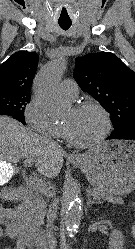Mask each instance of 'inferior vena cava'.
<instances>
[{
    "label": "inferior vena cava",
    "mask_w": 135,
    "mask_h": 249,
    "mask_svg": "<svg viewBox=\"0 0 135 249\" xmlns=\"http://www.w3.org/2000/svg\"><path fill=\"white\" fill-rule=\"evenodd\" d=\"M54 209L55 204L53 203L52 206L49 208V212L47 214L48 223L46 225V235L49 249H56V241L53 238V221H54Z\"/></svg>",
    "instance_id": "inferior-vena-cava-1"
}]
</instances>
